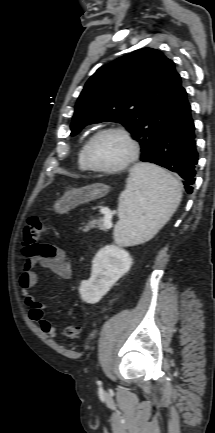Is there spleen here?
I'll use <instances>...</instances> for the list:
<instances>
[{
  "label": "spleen",
  "instance_id": "1",
  "mask_svg": "<svg viewBox=\"0 0 215 433\" xmlns=\"http://www.w3.org/2000/svg\"><path fill=\"white\" fill-rule=\"evenodd\" d=\"M181 198V185L171 174L154 164H136L119 197L115 242L130 246L150 240L174 214Z\"/></svg>",
  "mask_w": 215,
  "mask_h": 433
}]
</instances>
